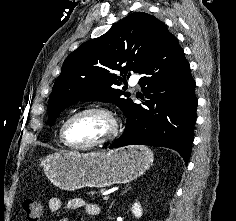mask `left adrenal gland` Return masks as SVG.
I'll return each mask as SVG.
<instances>
[{
    "label": "left adrenal gland",
    "instance_id": "left-adrenal-gland-1",
    "mask_svg": "<svg viewBox=\"0 0 236 221\" xmlns=\"http://www.w3.org/2000/svg\"><path fill=\"white\" fill-rule=\"evenodd\" d=\"M129 188H130V187H129ZM129 188H128V189H129ZM128 189H126L124 192H126ZM111 207H112V205L110 206V208H111Z\"/></svg>",
    "mask_w": 236,
    "mask_h": 221
}]
</instances>
